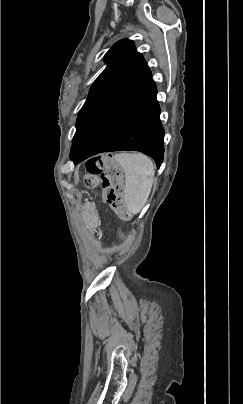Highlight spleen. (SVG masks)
Listing matches in <instances>:
<instances>
[{"label": "spleen", "mask_w": 243, "mask_h": 404, "mask_svg": "<svg viewBox=\"0 0 243 404\" xmlns=\"http://www.w3.org/2000/svg\"><path fill=\"white\" fill-rule=\"evenodd\" d=\"M116 162L125 172L124 200L129 214L144 208L154 180L152 160L144 154H116Z\"/></svg>", "instance_id": "spleen-1"}]
</instances>
